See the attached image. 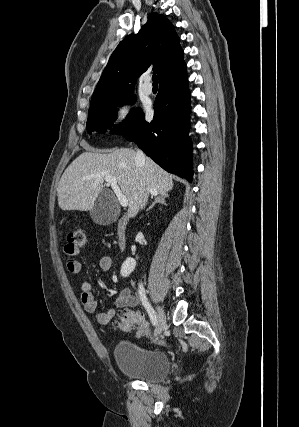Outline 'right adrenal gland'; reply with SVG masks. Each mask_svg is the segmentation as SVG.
<instances>
[{"label": "right adrenal gland", "instance_id": "obj_1", "mask_svg": "<svg viewBox=\"0 0 299 427\" xmlns=\"http://www.w3.org/2000/svg\"><path fill=\"white\" fill-rule=\"evenodd\" d=\"M168 197V193H160L157 197H155L154 202L151 204V206L147 209V211L151 210L155 204L160 203L163 205H167L166 204V198Z\"/></svg>", "mask_w": 299, "mask_h": 427}]
</instances>
